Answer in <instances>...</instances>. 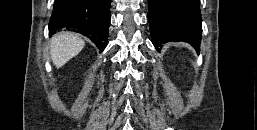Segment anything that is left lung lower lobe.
Instances as JSON below:
<instances>
[{
	"instance_id": "1",
	"label": "left lung lower lobe",
	"mask_w": 257,
	"mask_h": 130,
	"mask_svg": "<svg viewBox=\"0 0 257 130\" xmlns=\"http://www.w3.org/2000/svg\"><path fill=\"white\" fill-rule=\"evenodd\" d=\"M148 21L153 45L186 41L199 51L201 14L199 0H148Z\"/></svg>"
}]
</instances>
